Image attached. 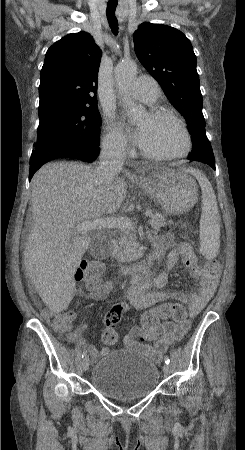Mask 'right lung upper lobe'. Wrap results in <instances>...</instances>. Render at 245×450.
<instances>
[{
	"instance_id": "right-lung-upper-lobe-1",
	"label": "right lung upper lobe",
	"mask_w": 245,
	"mask_h": 450,
	"mask_svg": "<svg viewBox=\"0 0 245 450\" xmlns=\"http://www.w3.org/2000/svg\"><path fill=\"white\" fill-rule=\"evenodd\" d=\"M101 50L90 34L72 33L46 52L39 86V109L64 103L97 105V78Z\"/></svg>"
}]
</instances>
